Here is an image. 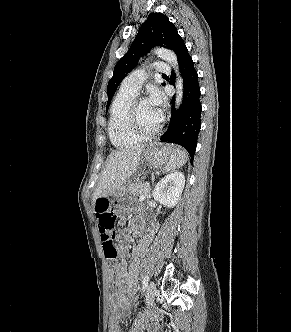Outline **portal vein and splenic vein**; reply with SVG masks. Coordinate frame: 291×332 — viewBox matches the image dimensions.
I'll return each mask as SVG.
<instances>
[{
    "label": "portal vein and splenic vein",
    "mask_w": 291,
    "mask_h": 332,
    "mask_svg": "<svg viewBox=\"0 0 291 332\" xmlns=\"http://www.w3.org/2000/svg\"><path fill=\"white\" fill-rule=\"evenodd\" d=\"M139 200H140V201L144 200V196H141Z\"/></svg>",
    "instance_id": "1"
}]
</instances>
